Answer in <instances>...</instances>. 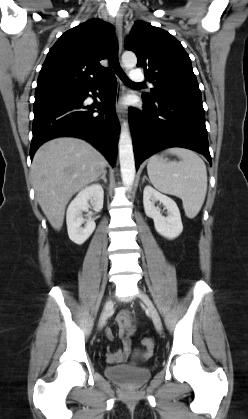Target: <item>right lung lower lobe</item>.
<instances>
[{
    "instance_id": "right-lung-lower-lobe-1",
    "label": "right lung lower lobe",
    "mask_w": 248,
    "mask_h": 419,
    "mask_svg": "<svg viewBox=\"0 0 248 419\" xmlns=\"http://www.w3.org/2000/svg\"><path fill=\"white\" fill-rule=\"evenodd\" d=\"M101 91L99 112L91 111L84 100L91 91ZM117 80L112 71L100 82L75 92L48 93L35 96L33 138L30 157L44 142L60 137L75 136L87 140L114 166L119 135L115 111Z\"/></svg>"
}]
</instances>
